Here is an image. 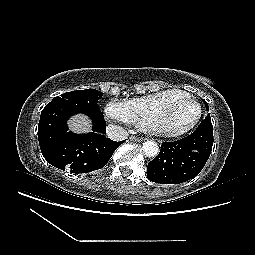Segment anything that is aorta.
Masks as SVG:
<instances>
[{
  "mask_svg": "<svg viewBox=\"0 0 255 255\" xmlns=\"http://www.w3.org/2000/svg\"><path fill=\"white\" fill-rule=\"evenodd\" d=\"M142 150L145 156L147 157H155L159 153V146L153 140H147L142 144Z\"/></svg>",
  "mask_w": 255,
  "mask_h": 255,
  "instance_id": "1",
  "label": "aorta"
}]
</instances>
